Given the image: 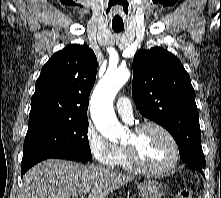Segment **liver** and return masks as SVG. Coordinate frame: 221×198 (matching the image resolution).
Wrapping results in <instances>:
<instances>
[{
    "label": "liver",
    "mask_w": 221,
    "mask_h": 198,
    "mask_svg": "<svg viewBox=\"0 0 221 198\" xmlns=\"http://www.w3.org/2000/svg\"><path fill=\"white\" fill-rule=\"evenodd\" d=\"M131 179L103 167L48 159L26 172L22 193L23 198H76L87 190L88 198H106Z\"/></svg>",
    "instance_id": "6515ba94"
}]
</instances>
